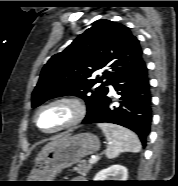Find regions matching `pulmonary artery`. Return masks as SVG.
<instances>
[{
	"label": "pulmonary artery",
	"instance_id": "pulmonary-artery-1",
	"mask_svg": "<svg viewBox=\"0 0 178 186\" xmlns=\"http://www.w3.org/2000/svg\"><path fill=\"white\" fill-rule=\"evenodd\" d=\"M110 89H111V90L113 89L112 86H110Z\"/></svg>",
	"mask_w": 178,
	"mask_h": 186
}]
</instances>
